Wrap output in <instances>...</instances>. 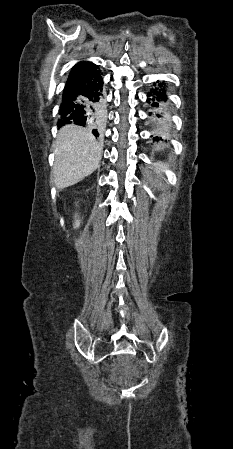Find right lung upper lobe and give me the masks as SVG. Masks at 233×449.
<instances>
[{"label": "right lung upper lobe", "instance_id": "1", "mask_svg": "<svg viewBox=\"0 0 233 449\" xmlns=\"http://www.w3.org/2000/svg\"><path fill=\"white\" fill-rule=\"evenodd\" d=\"M93 64L90 62H79L71 70L68 80L74 79L87 71Z\"/></svg>", "mask_w": 233, "mask_h": 449}]
</instances>
